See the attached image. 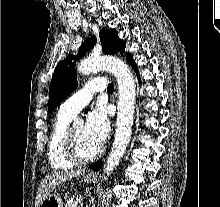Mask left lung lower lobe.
<instances>
[{
	"instance_id": "1",
	"label": "left lung lower lobe",
	"mask_w": 220,
	"mask_h": 207,
	"mask_svg": "<svg viewBox=\"0 0 220 207\" xmlns=\"http://www.w3.org/2000/svg\"><path fill=\"white\" fill-rule=\"evenodd\" d=\"M126 59H127L128 63L131 65V67L134 69V71L136 72L137 78L140 81V76H139V73H138V68H137V66L135 64V61L133 60V56L130 53H127L126 54ZM101 166H102V162H97L94 165H92L91 168L94 171H98L101 168Z\"/></svg>"
}]
</instances>
